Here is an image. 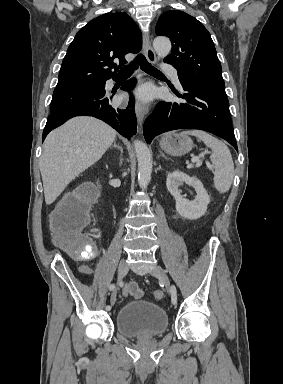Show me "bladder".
<instances>
[{
  "mask_svg": "<svg viewBox=\"0 0 283 384\" xmlns=\"http://www.w3.org/2000/svg\"><path fill=\"white\" fill-rule=\"evenodd\" d=\"M116 329L125 338L162 336L167 331L169 314L158 303L135 299L116 312Z\"/></svg>",
  "mask_w": 283,
  "mask_h": 384,
  "instance_id": "obj_1",
  "label": "bladder"
}]
</instances>
